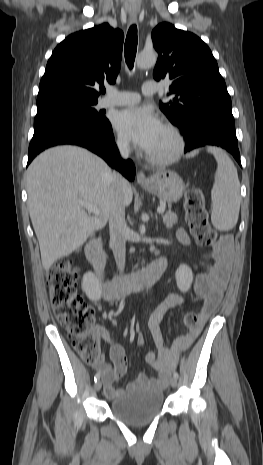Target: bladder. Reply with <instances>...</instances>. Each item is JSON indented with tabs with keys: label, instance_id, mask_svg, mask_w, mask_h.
<instances>
[{
	"label": "bladder",
	"instance_id": "1",
	"mask_svg": "<svg viewBox=\"0 0 263 465\" xmlns=\"http://www.w3.org/2000/svg\"><path fill=\"white\" fill-rule=\"evenodd\" d=\"M163 393L152 387H136L110 402L111 413L132 427H142L157 417L163 407Z\"/></svg>",
	"mask_w": 263,
	"mask_h": 465
}]
</instances>
